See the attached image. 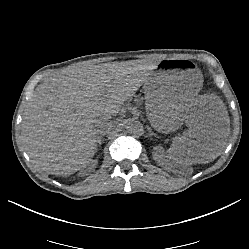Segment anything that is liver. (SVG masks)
Here are the masks:
<instances>
[{"label":"liver","instance_id":"liver-1","mask_svg":"<svg viewBox=\"0 0 249 249\" xmlns=\"http://www.w3.org/2000/svg\"><path fill=\"white\" fill-rule=\"evenodd\" d=\"M152 69L101 65L69 67L46 78L25 107L21 137L32 163L53 175H71L97 151L94 121L120 112L124 102L148 83ZM146 115L159 133L188 127L172 139L169 153L178 164L209 163L220 156L230 119L216 95L172 103L162 94L145 95Z\"/></svg>","mask_w":249,"mask_h":249}]
</instances>
